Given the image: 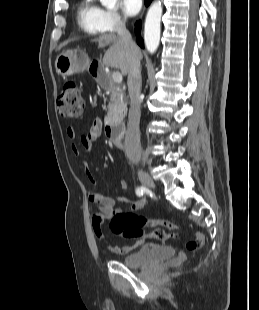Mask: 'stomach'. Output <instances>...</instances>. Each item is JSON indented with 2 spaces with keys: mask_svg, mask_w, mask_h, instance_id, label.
I'll return each instance as SVG.
<instances>
[{
  "mask_svg": "<svg viewBox=\"0 0 259 310\" xmlns=\"http://www.w3.org/2000/svg\"><path fill=\"white\" fill-rule=\"evenodd\" d=\"M89 60L85 53L77 49H68L62 52L55 61L57 73L62 76H70L84 71Z\"/></svg>",
  "mask_w": 259,
  "mask_h": 310,
  "instance_id": "obj_1",
  "label": "stomach"
}]
</instances>
